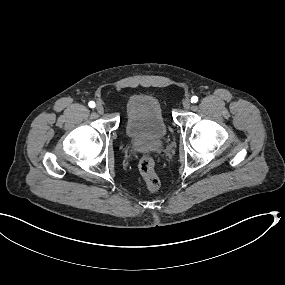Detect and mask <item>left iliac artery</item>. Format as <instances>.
Wrapping results in <instances>:
<instances>
[{"label": "left iliac artery", "mask_w": 285, "mask_h": 285, "mask_svg": "<svg viewBox=\"0 0 285 285\" xmlns=\"http://www.w3.org/2000/svg\"><path fill=\"white\" fill-rule=\"evenodd\" d=\"M198 101V97L197 96H193L191 98V103H196Z\"/></svg>", "instance_id": "1"}]
</instances>
